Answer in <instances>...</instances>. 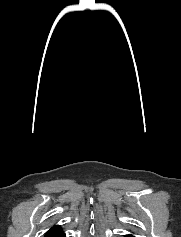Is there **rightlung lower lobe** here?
Returning a JSON list of instances; mask_svg holds the SVG:
<instances>
[{
    "label": "right lung lower lobe",
    "mask_w": 181,
    "mask_h": 237,
    "mask_svg": "<svg viewBox=\"0 0 181 237\" xmlns=\"http://www.w3.org/2000/svg\"><path fill=\"white\" fill-rule=\"evenodd\" d=\"M57 237H66L65 233H61L59 235H57Z\"/></svg>",
    "instance_id": "1"
}]
</instances>
